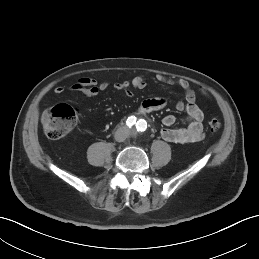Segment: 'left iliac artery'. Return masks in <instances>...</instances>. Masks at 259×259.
I'll list each match as a JSON object with an SVG mask.
<instances>
[{"mask_svg":"<svg viewBox=\"0 0 259 259\" xmlns=\"http://www.w3.org/2000/svg\"><path fill=\"white\" fill-rule=\"evenodd\" d=\"M136 128L138 131H145L147 128V123L144 120H139L136 124Z\"/></svg>","mask_w":259,"mask_h":259,"instance_id":"44dca946","label":"left iliac artery"}]
</instances>
